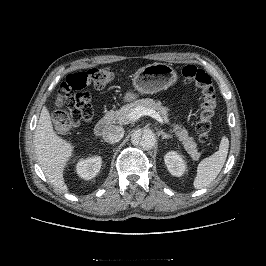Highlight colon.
Returning a JSON list of instances; mask_svg holds the SVG:
<instances>
[{
  "mask_svg": "<svg viewBox=\"0 0 266 266\" xmlns=\"http://www.w3.org/2000/svg\"><path fill=\"white\" fill-rule=\"evenodd\" d=\"M182 75L193 83L201 95L200 116L196 125L199 141L209 140L212 119L216 108V95L211 78L202 69L194 65H187L182 69ZM114 79V73L109 67H96L88 71L70 74L60 85L57 103L65 108L55 113V129L59 132L79 126L82 122H89L93 118V98L87 91L92 83L97 89L107 88Z\"/></svg>",
  "mask_w": 266,
  "mask_h": 266,
  "instance_id": "5ec220e1",
  "label": "colon"
}]
</instances>
